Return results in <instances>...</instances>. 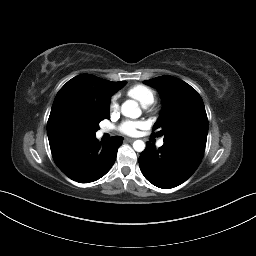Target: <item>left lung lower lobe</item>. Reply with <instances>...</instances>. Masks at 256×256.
Segmentation results:
<instances>
[{"label": "left lung lower lobe", "instance_id": "obj_1", "mask_svg": "<svg viewBox=\"0 0 256 256\" xmlns=\"http://www.w3.org/2000/svg\"><path fill=\"white\" fill-rule=\"evenodd\" d=\"M202 158L163 145L158 150L150 142L139 157L144 177L153 185L170 189L186 181L198 168Z\"/></svg>", "mask_w": 256, "mask_h": 256}]
</instances>
